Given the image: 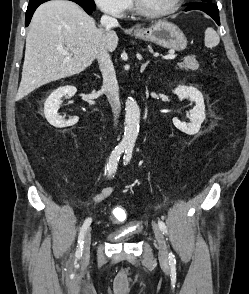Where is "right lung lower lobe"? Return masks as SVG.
<instances>
[{"instance_id": "1", "label": "right lung lower lobe", "mask_w": 249, "mask_h": 294, "mask_svg": "<svg viewBox=\"0 0 249 294\" xmlns=\"http://www.w3.org/2000/svg\"><path fill=\"white\" fill-rule=\"evenodd\" d=\"M46 1H48V0H38V1H35V2L29 3L27 11H26V20H25V25L26 26L29 25V23L31 21V18H32V15H33L34 11L36 10V8L40 4H42V3L46 2ZM70 1H73V2H75L77 4H79L89 15H91L92 12L94 11L91 8L84 6L79 0H70Z\"/></svg>"}]
</instances>
